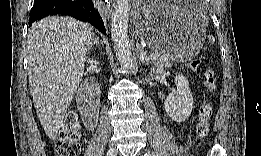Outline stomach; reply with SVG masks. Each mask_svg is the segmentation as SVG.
<instances>
[{"label":"stomach","instance_id":"1","mask_svg":"<svg viewBox=\"0 0 261 156\" xmlns=\"http://www.w3.org/2000/svg\"><path fill=\"white\" fill-rule=\"evenodd\" d=\"M132 14L137 37L154 51L179 62L199 53L208 19L198 2H138Z\"/></svg>","mask_w":261,"mask_h":156}]
</instances>
